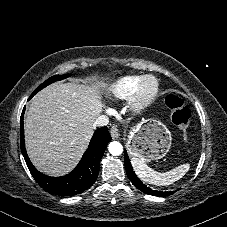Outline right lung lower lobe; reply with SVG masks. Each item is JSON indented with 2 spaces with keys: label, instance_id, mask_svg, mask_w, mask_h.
<instances>
[{
  "label": "right lung lower lobe",
  "instance_id": "obj_1",
  "mask_svg": "<svg viewBox=\"0 0 227 227\" xmlns=\"http://www.w3.org/2000/svg\"><path fill=\"white\" fill-rule=\"evenodd\" d=\"M23 117L24 110L20 120L21 152L36 182L47 192L61 196H73L90 188L97 179L100 160L111 141L108 128L102 127L95 131L87 151L71 173L62 177H50L39 172L28 158L24 142Z\"/></svg>",
  "mask_w": 227,
  "mask_h": 227
}]
</instances>
